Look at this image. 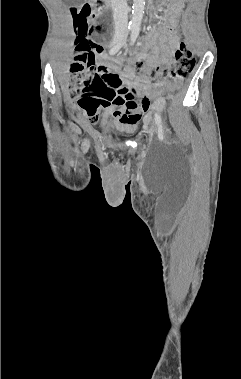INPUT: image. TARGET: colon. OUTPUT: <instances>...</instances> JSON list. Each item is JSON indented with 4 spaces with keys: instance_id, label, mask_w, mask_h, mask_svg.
I'll return each instance as SVG.
<instances>
[{
    "instance_id": "colon-1",
    "label": "colon",
    "mask_w": 241,
    "mask_h": 379,
    "mask_svg": "<svg viewBox=\"0 0 241 379\" xmlns=\"http://www.w3.org/2000/svg\"><path fill=\"white\" fill-rule=\"evenodd\" d=\"M79 7H71L70 11L80 39L76 42V54L71 65L72 80L70 92L77 99L80 107L91 120H96L98 111L107 107L120 94H127L128 86L123 77L111 68L97 63V57L104 52L103 47L94 40L87 38L91 31L90 22L98 16L102 0H92ZM142 65V62H141ZM195 60L185 42H181L174 51L172 62L162 66L157 73L175 81L183 80L194 68ZM154 78L156 73H150ZM176 89L171 84L156 87L152 95L163 94L172 99Z\"/></svg>"
}]
</instances>
